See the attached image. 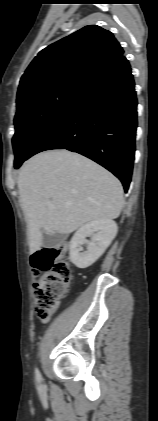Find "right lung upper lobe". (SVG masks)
<instances>
[{
  "instance_id": "right-lung-upper-lobe-1",
  "label": "right lung upper lobe",
  "mask_w": 158,
  "mask_h": 421,
  "mask_svg": "<svg viewBox=\"0 0 158 421\" xmlns=\"http://www.w3.org/2000/svg\"><path fill=\"white\" fill-rule=\"evenodd\" d=\"M123 53L110 31L85 26L39 52L21 77L17 101L58 85H84Z\"/></svg>"
}]
</instances>
